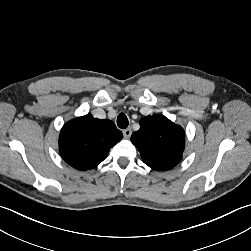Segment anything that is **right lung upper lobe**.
<instances>
[{
  "instance_id": "1",
  "label": "right lung upper lobe",
  "mask_w": 251,
  "mask_h": 251,
  "mask_svg": "<svg viewBox=\"0 0 251 251\" xmlns=\"http://www.w3.org/2000/svg\"><path fill=\"white\" fill-rule=\"evenodd\" d=\"M122 138V132L111 120L85 115L63 126L59 151L64 161L73 168L89 170L99 165Z\"/></svg>"
}]
</instances>
